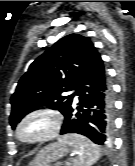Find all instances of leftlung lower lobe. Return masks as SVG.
<instances>
[{"mask_svg":"<svg viewBox=\"0 0 135 166\" xmlns=\"http://www.w3.org/2000/svg\"><path fill=\"white\" fill-rule=\"evenodd\" d=\"M74 95L79 96L74 112V102L63 113L65 120L61 134L78 133L94 143L107 145L114 129V104L112 88L107 78L100 54H96L79 79Z\"/></svg>","mask_w":135,"mask_h":166,"instance_id":"0a47b994","label":"left lung lower lobe"}]
</instances>
